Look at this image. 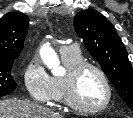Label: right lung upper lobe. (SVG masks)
Instances as JSON below:
<instances>
[{"instance_id": "cb5924a9", "label": "right lung upper lobe", "mask_w": 133, "mask_h": 118, "mask_svg": "<svg viewBox=\"0 0 133 118\" xmlns=\"http://www.w3.org/2000/svg\"><path fill=\"white\" fill-rule=\"evenodd\" d=\"M29 18L21 12H9L0 19V59H16L24 46Z\"/></svg>"}]
</instances>
